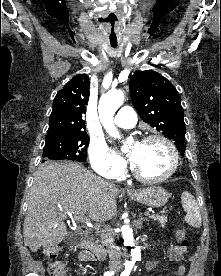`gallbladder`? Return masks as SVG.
I'll return each mask as SVG.
<instances>
[{"instance_id":"1","label":"gallbladder","mask_w":221,"mask_h":276,"mask_svg":"<svg viewBox=\"0 0 221 276\" xmlns=\"http://www.w3.org/2000/svg\"><path fill=\"white\" fill-rule=\"evenodd\" d=\"M65 242L67 244H72L74 242V238L72 237V235H69L65 238Z\"/></svg>"}]
</instances>
